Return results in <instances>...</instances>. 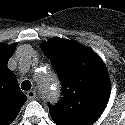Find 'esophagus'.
Here are the masks:
<instances>
[{"instance_id": "esophagus-1", "label": "esophagus", "mask_w": 125, "mask_h": 125, "mask_svg": "<svg viewBox=\"0 0 125 125\" xmlns=\"http://www.w3.org/2000/svg\"><path fill=\"white\" fill-rule=\"evenodd\" d=\"M28 99L33 100L36 98V92L34 90H30L26 93Z\"/></svg>"}]
</instances>
